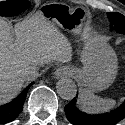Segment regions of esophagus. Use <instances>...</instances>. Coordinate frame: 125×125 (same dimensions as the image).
I'll return each instance as SVG.
<instances>
[{"mask_svg":"<svg viewBox=\"0 0 125 125\" xmlns=\"http://www.w3.org/2000/svg\"><path fill=\"white\" fill-rule=\"evenodd\" d=\"M73 73V70L69 66H60L55 71V77L56 78H63V77H69Z\"/></svg>","mask_w":125,"mask_h":125,"instance_id":"esophagus-1","label":"esophagus"}]
</instances>
